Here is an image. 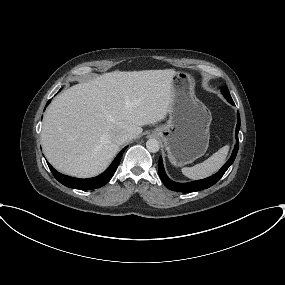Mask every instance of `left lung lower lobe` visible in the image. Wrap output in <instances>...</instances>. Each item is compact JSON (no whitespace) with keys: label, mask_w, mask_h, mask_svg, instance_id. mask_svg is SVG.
Here are the masks:
<instances>
[{"label":"left lung lower lobe","mask_w":285,"mask_h":285,"mask_svg":"<svg viewBox=\"0 0 285 285\" xmlns=\"http://www.w3.org/2000/svg\"><path fill=\"white\" fill-rule=\"evenodd\" d=\"M227 100L234 105V102L232 98H227ZM240 129V116L239 113L237 114V127H236V145L233 150V153L230 157V159L225 163V165L213 176H210L208 178L202 179V180H197L189 183H177L168 178V176L165 173L163 163H162V158L160 157L159 163H158V171H159V176L162 180V182L165 184L167 188L173 191H178V192H195L199 190H203L206 188L211 187L214 185L226 172V170L230 167V165L234 162L238 148H239V143H238V132Z\"/></svg>","instance_id":"0a47b994"}]
</instances>
